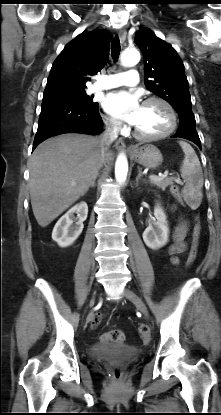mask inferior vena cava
Returning a JSON list of instances; mask_svg holds the SVG:
<instances>
[{"instance_id": "obj_1", "label": "inferior vena cava", "mask_w": 221, "mask_h": 415, "mask_svg": "<svg viewBox=\"0 0 221 415\" xmlns=\"http://www.w3.org/2000/svg\"><path fill=\"white\" fill-rule=\"evenodd\" d=\"M118 132H119V124L117 122L106 123V130L100 137V146H101L103 156L107 153L108 148L113 143V141L117 139Z\"/></svg>"}]
</instances>
